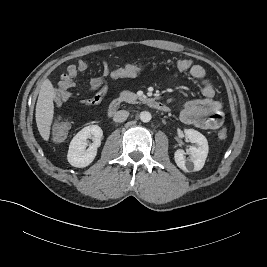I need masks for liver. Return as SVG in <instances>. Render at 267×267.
<instances>
[{
	"mask_svg": "<svg viewBox=\"0 0 267 267\" xmlns=\"http://www.w3.org/2000/svg\"><path fill=\"white\" fill-rule=\"evenodd\" d=\"M55 98L56 94L51 81L49 79L44 80L36 104L35 117L38 131L45 141H48L50 137Z\"/></svg>",
	"mask_w": 267,
	"mask_h": 267,
	"instance_id": "liver-1",
	"label": "liver"
}]
</instances>
